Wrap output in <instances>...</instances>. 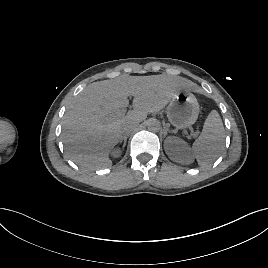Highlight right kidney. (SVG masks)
<instances>
[{
	"instance_id": "obj_1",
	"label": "right kidney",
	"mask_w": 268,
	"mask_h": 268,
	"mask_svg": "<svg viewBox=\"0 0 268 268\" xmlns=\"http://www.w3.org/2000/svg\"><path fill=\"white\" fill-rule=\"evenodd\" d=\"M120 155H121V150H119V149H114V150L111 152V156H112L113 158H118Z\"/></svg>"
}]
</instances>
